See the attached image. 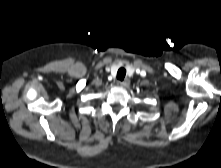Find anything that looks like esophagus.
<instances>
[{"label": "esophagus", "mask_w": 221, "mask_h": 168, "mask_svg": "<svg viewBox=\"0 0 221 168\" xmlns=\"http://www.w3.org/2000/svg\"><path fill=\"white\" fill-rule=\"evenodd\" d=\"M119 84H120L122 87H128L129 84H130V81H129V79H125L124 81H121Z\"/></svg>", "instance_id": "1"}]
</instances>
